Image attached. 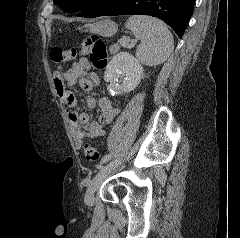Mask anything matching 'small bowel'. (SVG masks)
<instances>
[{
  "instance_id": "obj_1",
  "label": "small bowel",
  "mask_w": 240,
  "mask_h": 238,
  "mask_svg": "<svg viewBox=\"0 0 240 238\" xmlns=\"http://www.w3.org/2000/svg\"><path fill=\"white\" fill-rule=\"evenodd\" d=\"M89 70V61L86 58H82L66 71H64L62 67H58L54 72L53 82L56 93L60 101L68 108L75 109L77 107V100L75 96L66 89L65 82L68 85L78 83L84 91H91L95 85H99V76L94 72H91L89 76H87ZM96 106L100 109V116L97 121H91L86 112L71 110L69 113L68 117L71 132L78 148L81 147L86 137L99 138L104 136L105 127L120 112L119 108L107 97H101L98 100L88 98L86 100V108L88 110H92Z\"/></svg>"
}]
</instances>
